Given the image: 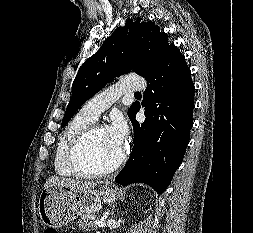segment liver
<instances>
[{
    "instance_id": "liver-1",
    "label": "liver",
    "mask_w": 253,
    "mask_h": 233,
    "mask_svg": "<svg viewBox=\"0 0 253 233\" xmlns=\"http://www.w3.org/2000/svg\"><path fill=\"white\" fill-rule=\"evenodd\" d=\"M97 184L98 182H82L70 178L51 176L46 180L45 187L63 186L71 189L74 192H85L93 189Z\"/></svg>"
}]
</instances>
